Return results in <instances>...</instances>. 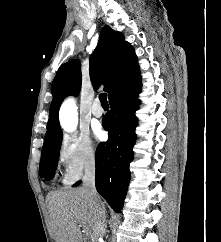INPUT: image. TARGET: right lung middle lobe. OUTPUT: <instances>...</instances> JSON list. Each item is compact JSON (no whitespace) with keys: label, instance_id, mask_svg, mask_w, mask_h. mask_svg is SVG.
Returning <instances> with one entry per match:
<instances>
[{"label":"right lung middle lobe","instance_id":"right-lung-middle-lobe-1","mask_svg":"<svg viewBox=\"0 0 221 242\" xmlns=\"http://www.w3.org/2000/svg\"><path fill=\"white\" fill-rule=\"evenodd\" d=\"M44 140L39 174L40 177L45 178L46 180H51L55 175V169L58 163L62 133Z\"/></svg>","mask_w":221,"mask_h":242}]
</instances>
